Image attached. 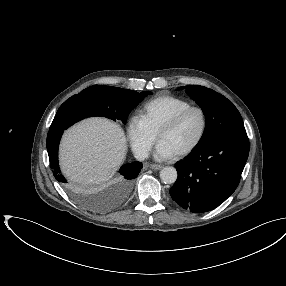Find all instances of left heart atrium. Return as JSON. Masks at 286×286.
<instances>
[{
	"label": "left heart atrium",
	"instance_id": "obj_1",
	"mask_svg": "<svg viewBox=\"0 0 286 286\" xmlns=\"http://www.w3.org/2000/svg\"><path fill=\"white\" fill-rule=\"evenodd\" d=\"M176 153L169 148L164 142L159 141L156 147L155 156L158 159H168L175 155Z\"/></svg>",
	"mask_w": 286,
	"mask_h": 286
}]
</instances>
